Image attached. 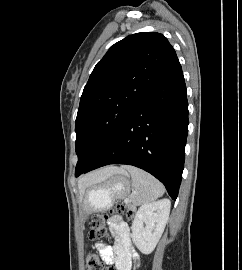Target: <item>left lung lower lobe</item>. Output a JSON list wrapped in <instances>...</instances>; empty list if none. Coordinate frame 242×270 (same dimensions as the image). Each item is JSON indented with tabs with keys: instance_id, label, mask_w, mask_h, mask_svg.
Listing matches in <instances>:
<instances>
[{
	"instance_id": "1",
	"label": "left lung lower lobe",
	"mask_w": 242,
	"mask_h": 270,
	"mask_svg": "<svg viewBox=\"0 0 242 270\" xmlns=\"http://www.w3.org/2000/svg\"><path fill=\"white\" fill-rule=\"evenodd\" d=\"M187 133L186 85L177 59L85 173L109 164L133 165L159 179L176 200L184 168Z\"/></svg>"
}]
</instances>
